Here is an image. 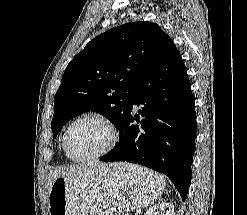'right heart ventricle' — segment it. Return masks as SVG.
I'll return each instance as SVG.
<instances>
[{"mask_svg":"<svg viewBox=\"0 0 247 215\" xmlns=\"http://www.w3.org/2000/svg\"><path fill=\"white\" fill-rule=\"evenodd\" d=\"M62 148H63V139H62ZM63 150H64V148H63ZM64 153H65V151H64ZM66 154V153H65ZM67 156V155H66ZM68 157V156H67Z\"/></svg>","mask_w":247,"mask_h":215,"instance_id":"e07e8e85","label":"right heart ventricle"}]
</instances>
